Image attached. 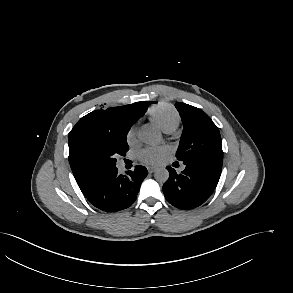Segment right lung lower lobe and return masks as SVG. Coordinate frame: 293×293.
<instances>
[{
  "instance_id": "98d812e1",
  "label": "right lung lower lobe",
  "mask_w": 293,
  "mask_h": 293,
  "mask_svg": "<svg viewBox=\"0 0 293 293\" xmlns=\"http://www.w3.org/2000/svg\"><path fill=\"white\" fill-rule=\"evenodd\" d=\"M126 174H118V169L113 168L85 197L93 206L106 212H117L130 207L148 172L145 167L137 165L134 171H127Z\"/></svg>"
}]
</instances>
